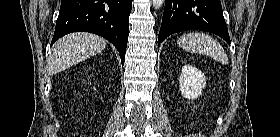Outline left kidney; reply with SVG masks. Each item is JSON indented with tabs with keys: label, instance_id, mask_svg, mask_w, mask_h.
<instances>
[{
	"label": "left kidney",
	"instance_id": "obj_1",
	"mask_svg": "<svg viewBox=\"0 0 280 137\" xmlns=\"http://www.w3.org/2000/svg\"><path fill=\"white\" fill-rule=\"evenodd\" d=\"M206 85L205 75L196 67L185 65L179 78L182 95L187 99H195L202 93Z\"/></svg>",
	"mask_w": 280,
	"mask_h": 137
}]
</instances>
